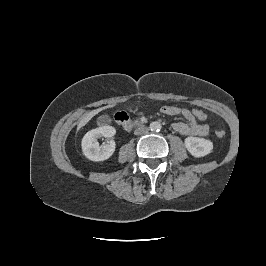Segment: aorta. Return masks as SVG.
I'll list each match as a JSON object with an SVG mask.
<instances>
[{
    "instance_id": "1",
    "label": "aorta",
    "mask_w": 266,
    "mask_h": 266,
    "mask_svg": "<svg viewBox=\"0 0 266 266\" xmlns=\"http://www.w3.org/2000/svg\"><path fill=\"white\" fill-rule=\"evenodd\" d=\"M161 123H159V122H157V121H155V122H152L151 124H150V129L152 130V131H160V129H161Z\"/></svg>"
}]
</instances>
